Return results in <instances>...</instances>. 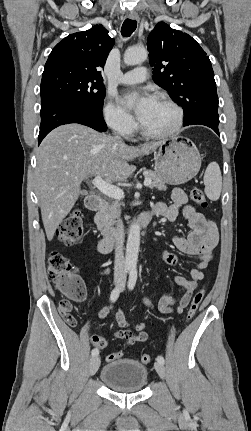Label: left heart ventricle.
I'll return each instance as SVG.
<instances>
[{"instance_id":"left-heart-ventricle-1","label":"left heart ventricle","mask_w":251,"mask_h":431,"mask_svg":"<svg viewBox=\"0 0 251 431\" xmlns=\"http://www.w3.org/2000/svg\"><path fill=\"white\" fill-rule=\"evenodd\" d=\"M176 114L168 104L155 100L154 105L141 120L145 129L151 132H163L168 130L175 122Z\"/></svg>"}]
</instances>
